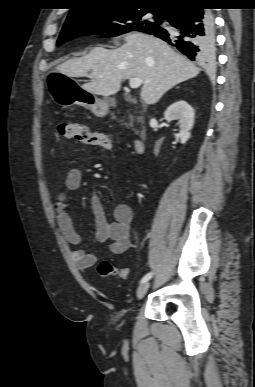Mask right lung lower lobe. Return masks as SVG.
<instances>
[{"label":"right lung lower lobe","mask_w":255,"mask_h":387,"mask_svg":"<svg viewBox=\"0 0 255 387\" xmlns=\"http://www.w3.org/2000/svg\"><path fill=\"white\" fill-rule=\"evenodd\" d=\"M198 0L165 10L169 24L149 27L143 32L154 34L177 47L189 59L210 63L215 56L214 20L209 9Z\"/></svg>","instance_id":"98d812e1"}]
</instances>
